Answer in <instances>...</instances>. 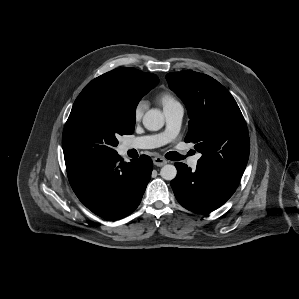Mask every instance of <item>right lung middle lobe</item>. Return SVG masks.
I'll return each mask as SVG.
<instances>
[{
	"label": "right lung middle lobe",
	"mask_w": 299,
	"mask_h": 299,
	"mask_svg": "<svg viewBox=\"0 0 299 299\" xmlns=\"http://www.w3.org/2000/svg\"><path fill=\"white\" fill-rule=\"evenodd\" d=\"M135 121V109L127 105L122 93L89 83L75 100L65 124L64 157L97 159L117 154V137L132 134Z\"/></svg>",
	"instance_id": "dd1d6c3e"
}]
</instances>
